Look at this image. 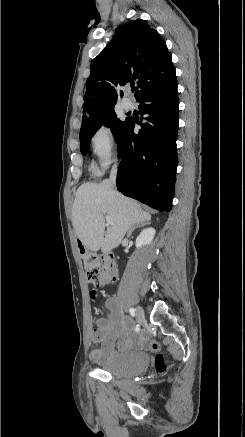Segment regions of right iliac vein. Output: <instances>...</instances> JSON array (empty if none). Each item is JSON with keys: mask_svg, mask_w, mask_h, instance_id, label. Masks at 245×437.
I'll use <instances>...</instances> for the list:
<instances>
[{"mask_svg": "<svg viewBox=\"0 0 245 437\" xmlns=\"http://www.w3.org/2000/svg\"><path fill=\"white\" fill-rule=\"evenodd\" d=\"M136 318L140 323L144 321V311L140 306H137L136 308Z\"/></svg>", "mask_w": 245, "mask_h": 437, "instance_id": "obj_1", "label": "right iliac vein"}]
</instances>
